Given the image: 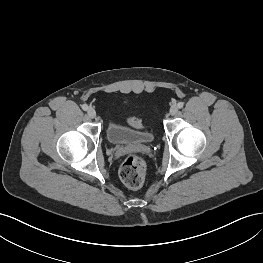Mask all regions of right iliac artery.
<instances>
[{
    "instance_id": "obj_1",
    "label": "right iliac artery",
    "mask_w": 263,
    "mask_h": 263,
    "mask_svg": "<svg viewBox=\"0 0 263 263\" xmlns=\"http://www.w3.org/2000/svg\"><path fill=\"white\" fill-rule=\"evenodd\" d=\"M82 109H83L84 111H87V110H88V105L83 104V105H82Z\"/></svg>"
}]
</instances>
